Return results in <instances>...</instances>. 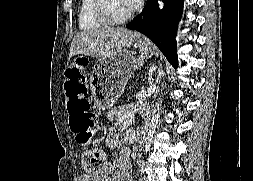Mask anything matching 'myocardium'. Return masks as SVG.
<instances>
[{
	"mask_svg": "<svg viewBox=\"0 0 253 181\" xmlns=\"http://www.w3.org/2000/svg\"><path fill=\"white\" fill-rule=\"evenodd\" d=\"M96 15L106 24V25H121L128 21L132 15L133 11H129L121 17H116L112 14L110 9V0H96L95 5Z\"/></svg>",
	"mask_w": 253,
	"mask_h": 181,
	"instance_id": "obj_1",
	"label": "myocardium"
}]
</instances>
